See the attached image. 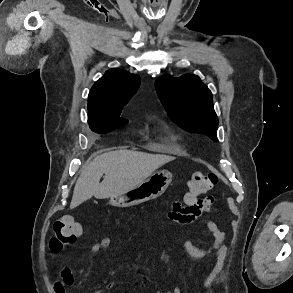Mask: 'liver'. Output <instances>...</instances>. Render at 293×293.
<instances>
[{
  "label": "liver",
  "instance_id": "liver-1",
  "mask_svg": "<svg viewBox=\"0 0 293 293\" xmlns=\"http://www.w3.org/2000/svg\"><path fill=\"white\" fill-rule=\"evenodd\" d=\"M167 155L119 150L104 153L88 161L78 178L70 208L94 196L106 199L122 194L143 182L159 167L173 161ZM105 174L103 181L100 179Z\"/></svg>",
  "mask_w": 293,
  "mask_h": 293
}]
</instances>
